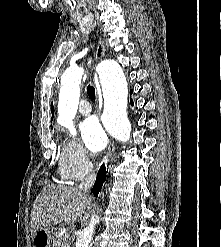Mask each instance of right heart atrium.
<instances>
[{
    "label": "right heart atrium",
    "mask_w": 221,
    "mask_h": 247,
    "mask_svg": "<svg viewBox=\"0 0 221 247\" xmlns=\"http://www.w3.org/2000/svg\"><path fill=\"white\" fill-rule=\"evenodd\" d=\"M91 157L76 140L64 141L60 153V173L70 180H77L91 171Z\"/></svg>",
    "instance_id": "1"
}]
</instances>
